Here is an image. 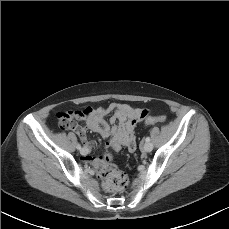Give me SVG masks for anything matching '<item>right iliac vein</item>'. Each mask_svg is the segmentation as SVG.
<instances>
[{"instance_id":"obj_1","label":"right iliac vein","mask_w":229,"mask_h":229,"mask_svg":"<svg viewBox=\"0 0 229 229\" xmlns=\"http://www.w3.org/2000/svg\"><path fill=\"white\" fill-rule=\"evenodd\" d=\"M80 153H81L82 155H85V154L87 153V150H86L85 148H82V149L80 150Z\"/></svg>"}]
</instances>
